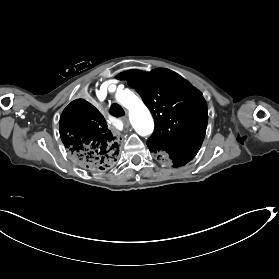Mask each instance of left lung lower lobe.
Returning <instances> with one entry per match:
<instances>
[{
  "label": "left lung lower lobe",
  "mask_w": 279,
  "mask_h": 279,
  "mask_svg": "<svg viewBox=\"0 0 279 279\" xmlns=\"http://www.w3.org/2000/svg\"><path fill=\"white\" fill-rule=\"evenodd\" d=\"M149 150L159 157H163L173 163V167H179L185 165L197 154L193 151H178V150H167V149H156L153 146L147 145Z\"/></svg>",
  "instance_id": "0a47b994"
}]
</instances>
